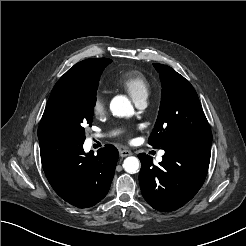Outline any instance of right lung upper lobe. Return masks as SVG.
Returning <instances> with one entry per match:
<instances>
[{
    "label": "right lung upper lobe",
    "instance_id": "right-lung-upper-lobe-1",
    "mask_svg": "<svg viewBox=\"0 0 246 246\" xmlns=\"http://www.w3.org/2000/svg\"><path fill=\"white\" fill-rule=\"evenodd\" d=\"M93 59H87L84 61H81L77 64H75L71 69H69L55 84L53 90L58 88L59 86L65 85L67 83H70L76 79H78L80 76H82L87 69L88 65ZM42 133L38 134V137H41Z\"/></svg>",
    "mask_w": 246,
    "mask_h": 246
}]
</instances>
